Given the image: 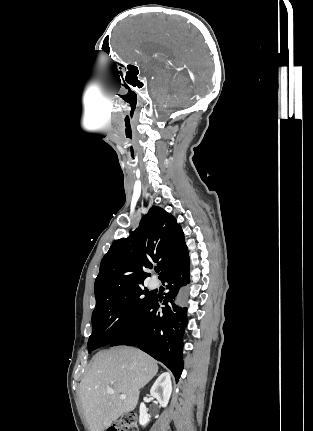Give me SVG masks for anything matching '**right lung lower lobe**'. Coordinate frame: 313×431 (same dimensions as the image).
<instances>
[{
  "instance_id": "98d812e1",
  "label": "right lung lower lobe",
  "mask_w": 313,
  "mask_h": 431,
  "mask_svg": "<svg viewBox=\"0 0 313 431\" xmlns=\"http://www.w3.org/2000/svg\"><path fill=\"white\" fill-rule=\"evenodd\" d=\"M190 259L187 246L161 278L167 282L165 307L158 311L160 301L153 297L136 322L121 336L110 343L111 346H138L139 349L165 364L178 381L183 370V335L187 325V308L182 306V288L189 280Z\"/></svg>"
}]
</instances>
